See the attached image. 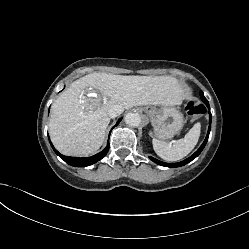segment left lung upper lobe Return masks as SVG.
<instances>
[{"instance_id":"obj_1","label":"left lung upper lobe","mask_w":249,"mask_h":249,"mask_svg":"<svg viewBox=\"0 0 249 249\" xmlns=\"http://www.w3.org/2000/svg\"><path fill=\"white\" fill-rule=\"evenodd\" d=\"M201 94H203V92H202V91L200 92V95H201Z\"/></svg>"}]
</instances>
